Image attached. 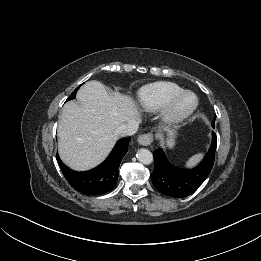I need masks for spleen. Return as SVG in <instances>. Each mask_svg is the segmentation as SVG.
<instances>
[{"label":"spleen","mask_w":261,"mask_h":261,"mask_svg":"<svg viewBox=\"0 0 261 261\" xmlns=\"http://www.w3.org/2000/svg\"><path fill=\"white\" fill-rule=\"evenodd\" d=\"M202 156H203V155H202L201 153L193 155V156L190 157V159L187 161L186 165H187L188 167H193V166L197 165L198 162L202 159Z\"/></svg>","instance_id":"3e777b00"}]
</instances>
